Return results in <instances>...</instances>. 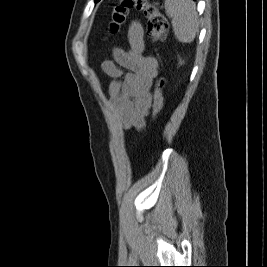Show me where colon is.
Instances as JSON below:
<instances>
[{
    "label": "colon",
    "instance_id": "colon-1",
    "mask_svg": "<svg viewBox=\"0 0 267 267\" xmlns=\"http://www.w3.org/2000/svg\"><path fill=\"white\" fill-rule=\"evenodd\" d=\"M133 9L144 13L147 20V33L154 41H162L166 38L169 31V22L159 10L157 4L150 0H119L112 11L110 30L117 32ZM163 86L164 79H158L153 93V115L155 119L160 116L163 109Z\"/></svg>",
    "mask_w": 267,
    "mask_h": 267
}]
</instances>
